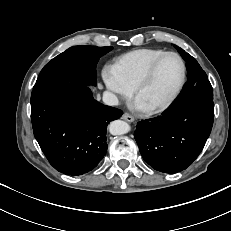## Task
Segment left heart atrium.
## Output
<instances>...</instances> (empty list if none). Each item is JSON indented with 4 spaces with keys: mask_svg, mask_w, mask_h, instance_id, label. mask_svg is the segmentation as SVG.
I'll return each mask as SVG.
<instances>
[{
    "mask_svg": "<svg viewBox=\"0 0 231 231\" xmlns=\"http://www.w3.org/2000/svg\"><path fill=\"white\" fill-rule=\"evenodd\" d=\"M132 107L138 111H145L147 109V107L142 104L138 98L134 100V102L132 103Z\"/></svg>",
    "mask_w": 231,
    "mask_h": 231,
    "instance_id": "left-heart-atrium-1",
    "label": "left heart atrium"
}]
</instances>
